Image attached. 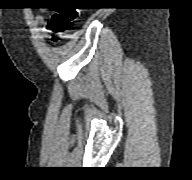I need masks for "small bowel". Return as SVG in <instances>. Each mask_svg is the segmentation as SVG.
<instances>
[{
    "mask_svg": "<svg viewBox=\"0 0 192 180\" xmlns=\"http://www.w3.org/2000/svg\"><path fill=\"white\" fill-rule=\"evenodd\" d=\"M38 21H40V22H41V21H42V17H39V18H38Z\"/></svg>",
    "mask_w": 192,
    "mask_h": 180,
    "instance_id": "small-bowel-1",
    "label": "small bowel"
}]
</instances>
